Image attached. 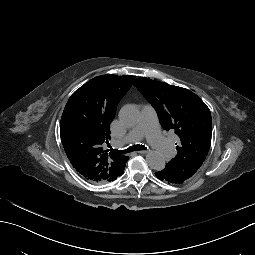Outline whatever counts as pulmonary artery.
<instances>
[{
    "instance_id": "pulmonary-artery-1",
    "label": "pulmonary artery",
    "mask_w": 255,
    "mask_h": 255,
    "mask_svg": "<svg viewBox=\"0 0 255 255\" xmlns=\"http://www.w3.org/2000/svg\"><path fill=\"white\" fill-rule=\"evenodd\" d=\"M155 117L156 114L152 107L145 105L142 110V119L139 121L138 126L132 129L123 139L113 140L111 146L118 149L125 144L135 143L146 137L164 158L174 161L176 159L174 147L168 140L161 138Z\"/></svg>"
}]
</instances>
